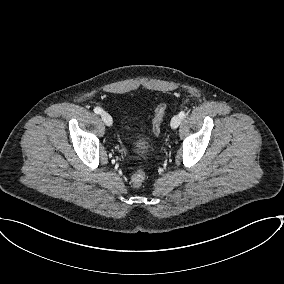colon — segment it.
<instances>
[{
    "instance_id": "colon-1",
    "label": "colon",
    "mask_w": 284,
    "mask_h": 284,
    "mask_svg": "<svg viewBox=\"0 0 284 284\" xmlns=\"http://www.w3.org/2000/svg\"><path fill=\"white\" fill-rule=\"evenodd\" d=\"M166 110V104L161 102L155 109V115L152 122L151 133L157 136L160 133L161 124ZM146 179V173L144 170H138L131 176V183L135 187H139Z\"/></svg>"
}]
</instances>
